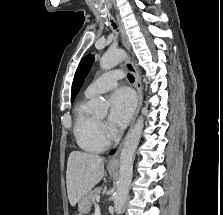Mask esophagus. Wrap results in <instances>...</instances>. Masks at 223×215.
Wrapping results in <instances>:
<instances>
[{"label": "esophagus", "instance_id": "1", "mask_svg": "<svg viewBox=\"0 0 223 215\" xmlns=\"http://www.w3.org/2000/svg\"><path fill=\"white\" fill-rule=\"evenodd\" d=\"M116 17H117V21H118V24H119V27H120V30H121L122 43H123L124 47L126 48V50L128 52H130V43H129L128 36L126 34V31H125L123 22L121 21V19L119 18L118 15ZM124 66H125V68H127V70H129L134 75V77H135V88H136L137 94H138L137 107H136L135 114H134V117H133V120H132V123H131V126H130V129H131L135 120H136V117L139 113L140 107L142 105V85H141V79H140L139 73H138L136 67L134 66L133 62H131V60L128 59L124 62ZM123 143H124V140H122V142L118 146L116 152L113 155H111V157H109V160H108V163H107L108 167L118 166L119 153H120V150L122 148Z\"/></svg>", "mask_w": 223, "mask_h": 215}]
</instances>
